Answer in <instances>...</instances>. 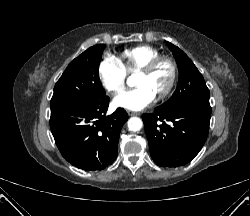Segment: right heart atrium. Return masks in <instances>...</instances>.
Here are the masks:
<instances>
[{
	"label": "right heart atrium",
	"instance_id": "d8ad5b80",
	"mask_svg": "<svg viewBox=\"0 0 250 216\" xmlns=\"http://www.w3.org/2000/svg\"><path fill=\"white\" fill-rule=\"evenodd\" d=\"M99 74L103 86L110 92H120L127 81V71L115 57H106L100 64Z\"/></svg>",
	"mask_w": 250,
	"mask_h": 216
}]
</instances>
